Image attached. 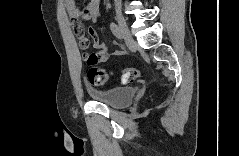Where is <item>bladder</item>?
Returning <instances> with one entry per match:
<instances>
[{
  "instance_id": "bladder-1",
  "label": "bladder",
  "mask_w": 239,
  "mask_h": 156,
  "mask_svg": "<svg viewBox=\"0 0 239 156\" xmlns=\"http://www.w3.org/2000/svg\"><path fill=\"white\" fill-rule=\"evenodd\" d=\"M87 92L94 101L115 108L128 106L134 99L136 90L132 86L115 87L105 90L87 88Z\"/></svg>"
}]
</instances>
